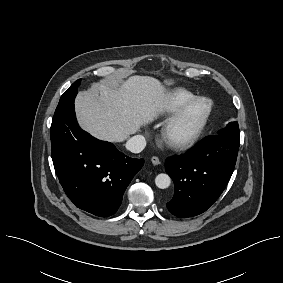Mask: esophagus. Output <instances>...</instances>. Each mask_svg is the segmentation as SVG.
I'll return each instance as SVG.
<instances>
[{"instance_id":"1","label":"esophagus","mask_w":283,"mask_h":283,"mask_svg":"<svg viewBox=\"0 0 283 283\" xmlns=\"http://www.w3.org/2000/svg\"><path fill=\"white\" fill-rule=\"evenodd\" d=\"M151 162H152L153 165H158V164H160V160H159V158L156 157V156H153V157L151 158Z\"/></svg>"}]
</instances>
